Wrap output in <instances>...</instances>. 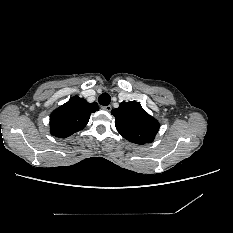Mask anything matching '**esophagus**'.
I'll use <instances>...</instances> for the list:
<instances>
[{"label": "esophagus", "mask_w": 233, "mask_h": 233, "mask_svg": "<svg viewBox=\"0 0 233 233\" xmlns=\"http://www.w3.org/2000/svg\"><path fill=\"white\" fill-rule=\"evenodd\" d=\"M102 110H105L107 112H110L112 110V106L111 105H107V106H102L101 107Z\"/></svg>", "instance_id": "obj_1"}]
</instances>
